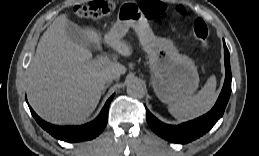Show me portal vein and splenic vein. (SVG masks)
<instances>
[{"label":"portal vein and splenic vein","instance_id":"portal-vein-and-splenic-vein-1","mask_svg":"<svg viewBox=\"0 0 259 156\" xmlns=\"http://www.w3.org/2000/svg\"><path fill=\"white\" fill-rule=\"evenodd\" d=\"M110 63V59L108 58L107 55H102L97 59L91 60L89 62L90 65L95 66V67H103L106 66Z\"/></svg>","mask_w":259,"mask_h":156}]
</instances>
